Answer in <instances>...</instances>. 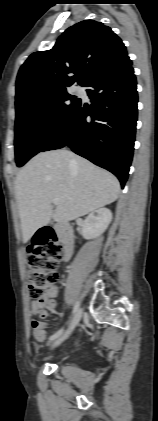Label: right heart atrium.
I'll return each instance as SVG.
<instances>
[{"label":"right heart atrium","mask_w":158,"mask_h":421,"mask_svg":"<svg viewBox=\"0 0 158 421\" xmlns=\"http://www.w3.org/2000/svg\"><path fill=\"white\" fill-rule=\"evenodd\" d=\"M45 118L48 122H52L53 120V112L51 109H48L46 114H45Z\"/></svg>","instance_id":"d8ad5b80"}]
</instances>
